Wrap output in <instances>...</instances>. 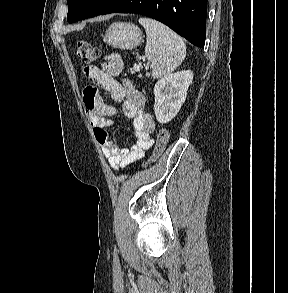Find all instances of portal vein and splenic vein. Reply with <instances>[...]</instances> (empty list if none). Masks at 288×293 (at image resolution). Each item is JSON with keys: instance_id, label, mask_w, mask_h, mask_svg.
I'll list each match as a JSON object with an SVG mask.
<instances>
[{"instance_id": "portal-vein-and-splenic-vein-1", "label": "portal vein and splenic vein", "mask_w": 288, "mask_h": 293, "mask_svg": "<svg viewBox=\"0 0 288 293\" xmlns=\"http://www.w3.org/2000/svg\"><path fill=\"white\" fill-rule=\"evenodd\" d=\"M133 69L136 70V71H139V70H140V67H139L138 65L135 64V65L133 66Z\"/></svg>"}]
</instances>
